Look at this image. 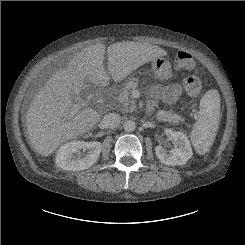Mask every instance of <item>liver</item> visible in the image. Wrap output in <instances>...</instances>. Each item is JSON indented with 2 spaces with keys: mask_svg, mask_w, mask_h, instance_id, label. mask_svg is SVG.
Masks as SVG:
<instances>
[{
  "mask_svg": "<svg viewBox=\"0 0 245 245\" xmlns=\"http://www.w3.org/2000/svg\"><path fill=\"white\" fill-rule=\"evenodd\" d=\"M105 49L101 43L82 49L34 96L27 110L26 127L30 143L40 155H51L64 142L91 131L100 121V114L90 107L69 117L73 97H78L89 83L104 87L110 78L122 81L140 66L167 55L165 50L152 44L113 43L107 47V74L103 66Z\"/></svg>",
  "mask_w": 245,
  "mask_h": 245,
  "instance_id": "obj_1",
  "label": "liver"
}]
</instances>
